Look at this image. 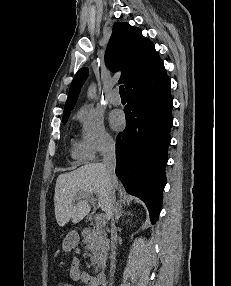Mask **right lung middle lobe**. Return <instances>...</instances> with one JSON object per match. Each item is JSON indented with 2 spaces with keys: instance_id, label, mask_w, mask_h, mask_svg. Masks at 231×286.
<instances>
[{
  "instance_id": "obj_1",
  "label": "right lung middle lobe",
  "mask_w": 231,
  "mask_h": 286,
  "mask_svg": "<svg viewBox=\"0 0 231 286\" xmlns=\"http://www.w3.org/2000/svg\"><path fill=\"white\" fill-rule=\"evenodd\" d=\"M69 114L63 115V123L65 124L68 120Z\"/></svg>"
}]
</instances>
